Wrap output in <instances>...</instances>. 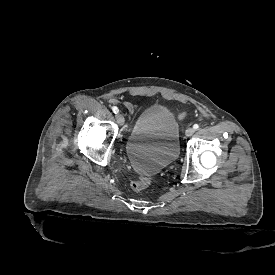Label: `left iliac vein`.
<instances>
[{"label":"left iliac vein","instance_id":"4c4485c4","mask_svg":"<svg viewBox=\"0 0 275 275\" xmlns=\"http://www.w3.org/2000/svg\"><path fill=\"white\" fill-rule=\"evenodd\" d=\"M194 132H195V129L190 127L186 130L185 134L187 137H191L194 134Z\"/></svg>","mask_w":275,"mask_h":275}]
</instances>
